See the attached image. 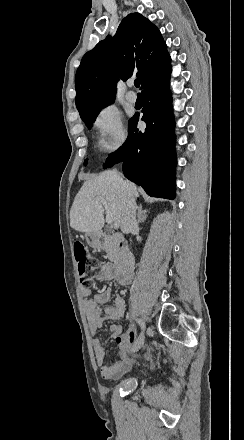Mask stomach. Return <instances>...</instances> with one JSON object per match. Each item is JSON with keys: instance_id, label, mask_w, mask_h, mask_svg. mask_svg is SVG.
<instances>
[{"instance_id": "stomach-1", "label": "stomach", "mask_w": 244, "mask_h": 440, "mask_svg": "<svg viewBox=\"0 0 244 440\" xmlns=\"http://www.w3.org/2000/svg\"><path fill=\"white\" fill-rule=\"evenodd\" d=\"M86 242L91 248H102L100 232H86Z\"/></svg>"}]
</instances>
